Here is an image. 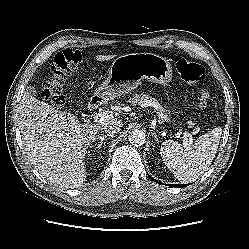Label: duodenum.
Instances as JSON below:
<instances>
[{"instance_id":"duodenum-1","label":"duodenum","mask_w":249,"mask_h":249,"mask_svg":"<svg viewBox=\"0 0 249 249\" xmlns=\"http://www.w3.org/2000/svg\"><path fill=\"white\" fill-rule=\"evenodd\" d=\"M101 103H102V99L100 97H97V96L93 97L89 101L88 109L90 111H95L96 109H98V107L101 105Z\"/></svg>"}]
</instances>
